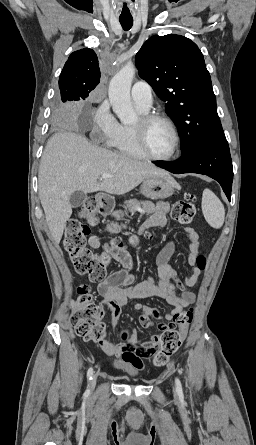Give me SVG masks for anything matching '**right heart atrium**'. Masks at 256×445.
I'll return each instance as SVG.
<instances>
[{
  "mask_svg": "<svg viewBox=\"0 0 256 445\" xmlns=\"http://www.w3.org/2000/svg\"><path fill=\"white\" fill-rule=\"evenodd\" d=\"M120 124L104 101L95 109L92 117L91 134L101 143L111 145L118 135Z\"/></svg>",
  "mask_w": 256,
  "mask_h": 445,
  "instance_id": "d8ad5b80",
  "label": "right heart atrium"
}]
</instances>
